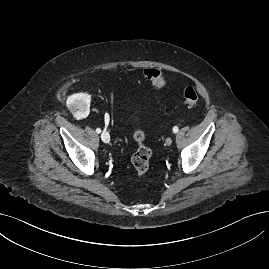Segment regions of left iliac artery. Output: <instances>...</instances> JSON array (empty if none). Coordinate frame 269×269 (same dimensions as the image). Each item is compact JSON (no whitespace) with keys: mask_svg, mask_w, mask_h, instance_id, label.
<instances>
[{"mask_svg":"<svg viewBox=\"0 0 269 269\" xmlns=\"http://www.w3.org/2000/svg\"><path fill=\"white\" fill-rule=\"evenodd\" d=\"M178 130H179V129H178V127H177V126H174V127H173V132H174V133H177V132H178Z\"/></svg>","mask_w":269,"mask_h":269,"instance_id":"1","label":"left iliac artery"}]
</instances>
